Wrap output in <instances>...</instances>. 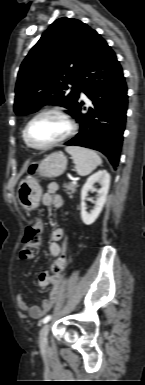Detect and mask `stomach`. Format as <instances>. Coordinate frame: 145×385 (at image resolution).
<instances>
[{
  "mask_svg": "<svg viewBox=\"0 0 145 385\" xmlns=\"http://www.w3.org/2000/svg\"><path fill=\"white\" fill-rule=\"evenodd\" d=\"M67 168V158L62 152H53L44 158L37 168L41 177L55 178L62 175ZM17 200L25 210H33L40 204L42 188L39 181L27 176L18 184Z\"/></svg>",
  "mask_w": 145,
  "mask_h": 385,
  "instance_id": "1",
  "label": "stomach"
}]
</instances>
